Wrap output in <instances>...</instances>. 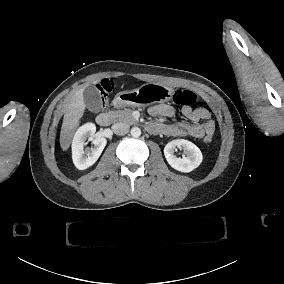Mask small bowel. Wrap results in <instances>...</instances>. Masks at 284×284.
Instances as JSON below:
<instances>
[{
    "mask_svg": "<svg viewBox=\"0 0 284 284\" xmlns=\"http://www.w3.org/2000/svg\"><path fill=\"white\" fill-rule=\"evenodd\" d=\"M183 116L190 122H176L173 124H163L157 121L150 122L148 129L153 132L161 131L167 136L205 138L212 136L215 131V123L210 119V112L203 107L192 108L183 107L181 110ZM152 118L175 116V109L168 104H157L148 109Z\"/></svg>",
    "mask_w": 284,
    "mask_h": 284,
    "instance_id": "small-bowel-1",
    "label": "small bowel"
}]
</instances>
